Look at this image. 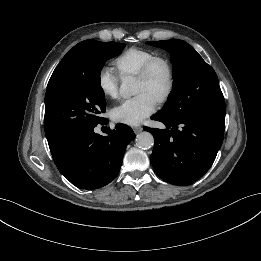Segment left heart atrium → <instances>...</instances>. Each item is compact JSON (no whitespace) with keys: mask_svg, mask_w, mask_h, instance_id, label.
I'll list each match as a JSON object with an SVG mask.
<instances>
[{"mask_svg":"<svg viewBox=\"0 0 261 261\" xmlns=\"http://www.w3.org/2000/svg\"><path fill=\"white\" fill-rule=\"evenodd\" d=\"M156 102L151 95L140 93L115 106L111 110V118L118 123L138 125L156 110Z\"/></svg>","mask_w":261,"mask_h":261,"instance_id":"39dd6f15","label":"left heart atrium"}]
</instances>
